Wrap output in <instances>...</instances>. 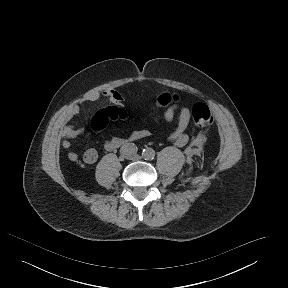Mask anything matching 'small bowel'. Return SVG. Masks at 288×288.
Segmentation results:
<instances>
[{"label":"small bowel","instance_id":"small-bowel-1","mask_svg":"<svg viewBox=\"0 0 288 288\" xmlns=\"http://www.w3.org/2000/svg\"><path fill=\"white\" fill-rule=\"evenodd\" d=\"M116 141H110L105 144L107 149H113L116 147ZM97 160V152L94 149H89L84 154V161L88 164H92Z\"/></svg>","mask_w":288,"mask_h":288}]
</instances>
